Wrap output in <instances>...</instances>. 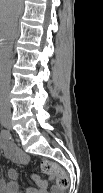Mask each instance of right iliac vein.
<instances>
[{"instance_id": "1", "label": "right iliac vein", "mask_w": 103, "mask_h": 193, "mask_svg": "<svg viewBox=\"0 0 103 193\" xmlns=\"http://www.w3.org/2000/svg\"><path fill=\"white\" fill-rule=\"evenodd\" d=\"M3 126L6 127L7 129H11V123L9 121L3 122Z\"/></svg>"}]
</instances>
